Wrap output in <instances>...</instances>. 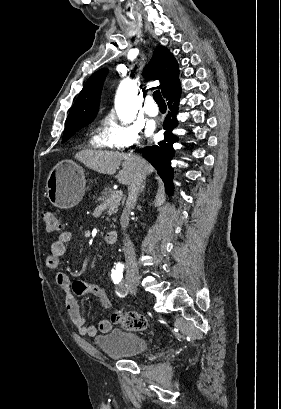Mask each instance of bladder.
Here are the masks:
<instances>
[{
  "label": "bladder",
  "mask_w": 281,
  "mask_h": 409,
  "mask_svg": "<svg viewBox=\"0 0 281 409\" xmlns=\"http://www.w3.org/2000/svg\"><path fill=\"white\" fill-rule=\"evenodd\" d=\"M94 343L103 355L117 360L143 357L152 349L147 338L133 330L119 328H110L105 335L96 336Z\"/></svg>",
  "instance_id": "31cf9c89"
}]
</instances>
